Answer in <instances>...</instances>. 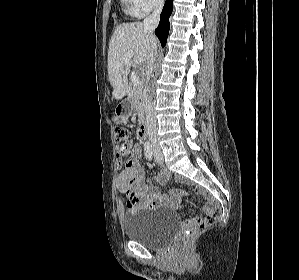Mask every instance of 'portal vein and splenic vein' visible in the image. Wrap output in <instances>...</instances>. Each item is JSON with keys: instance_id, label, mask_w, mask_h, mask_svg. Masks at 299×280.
<instances>
[{"instance_id": "obj_1", "label": "portal vein and splenic vein", "mask_w": 299, "mask_h": 280, "mask_svg": "<svg viewBox=\"0 0 299 280\" xmlns=\"http://www.w3.org/2000/svg\"><path fill=\"white\" fill-rule=\"evenodd\" d=\"M133 55H134L133 51H128L125 54V60L129 61L130 59H132ZM131 80H132V84L134 87H137L139 85V79H138L136 73L131 74Z\"/></svg>"}]
</instances>
